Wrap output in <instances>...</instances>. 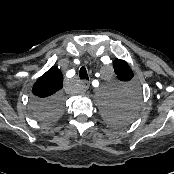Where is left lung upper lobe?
I'll use <instances>...</instances> for the list:
<instances>
[{
	"label": "left lung upper lobe",
	"mask_w": 174,
	"mask_h": 174,
	"mask_svg": "<svg viewBox=\"0 0 174 174\" xmlns=\"http://www.w3.org/2000/svg\"><path fill=\"white\" fill-rule=\"evenodd\" d=\"M113 67L117 77L122 81H128L134 76L129 65L120 59H116ZM136 98L131 97L126 105L122 107H114L107 112V118L115 125L123 126L131 122L133 116V106Z\"/></svg>",
	"instance_id": "5c2ea615"
}]
</instances>
